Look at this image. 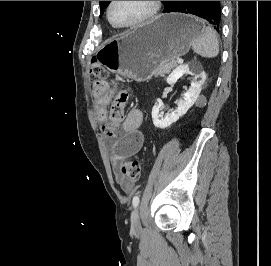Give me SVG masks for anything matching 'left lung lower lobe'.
<instances>
[{
	"mask_svg": "<svg viewBox=\"0 0 271 266\" xmlns=\"http://www.w3.org/2000/svg\"><path fill=\"white\" fill-rule=\"evenodd\" d=\"M163 12L190 13L202 17L219 31L222 15L220 1H169Z\"/></svg>",
	"mask_w": 271,
	"mask_h": 266,
	"instance_id": "left-lung-lower-lobe-1",
	"label": "left lung lower lobe"
}]
</instances>
